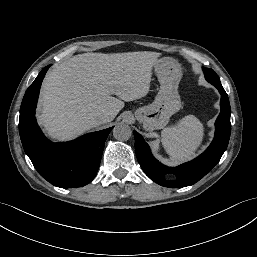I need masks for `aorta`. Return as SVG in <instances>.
Segmentation results:
<instances>
[{
    "instance_id": "762f6f07",
    "label": "aorta",
    "mask_w": 257,
    "mask_h": 257,
    "mask_svg": "<svg viewBox=\"0 0 257 257\" xmlns=\"http://www.w3.org/2000/svg\"><path fill=\"white\" fill-rule=\"evenodd\" d=\"M131 135L132 130L130 126L125 123H119L113 129V136L119 141H127Z\"/></svg>"
}]
</instances>
